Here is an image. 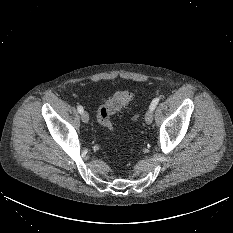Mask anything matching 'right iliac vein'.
<instances>
[{
    "mask_svg": "<svg viewBox=\"0 0 233 233\" xmlns=\"http://www.w3.org/2000/svg\"><path fill=\"white\" fill-rule=\"evenodd\" d=\"M81 120H82V122H84V123H88V122H89V115H88L87 112H83V113L81 114Z\"/></svg>",
    "mask_w": 233,
    "mask_h": 233,
    "instance_id": "obj_1",
    "label": "right iliac vein"
}]
</instances>
